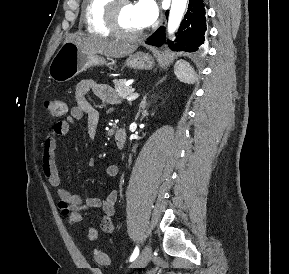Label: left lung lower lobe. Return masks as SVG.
<instances>
[{"instance_id":"left-lung-lower-lobe-1","label":"left lung lower lobe","mask_w":289,"mask_h":274,"mask_svg":"<svg viewBox=\"0 0 289 274\" xmlns=\"http://www.w3.org/2000/svg\"><path fill=\"white\" fill-rule=\"evenodd\" d=\"M205 14L204 0H190L188 11L181 22L175 40L168 41L169 48L175 51H197L205 41L207 30ZM166 15H168V11ZM164 40L165 28L160 27L145 43L161 46Z\"/></svg>"}]
</instances>
